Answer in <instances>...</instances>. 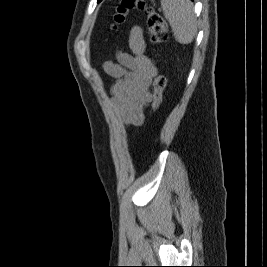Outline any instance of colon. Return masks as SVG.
<instances>
[{
    "label": "colon",
    "mask_w": 267,
    "mask_h": 267,
    "mask_svg": "<svg viewBox=\"0 0 267 267\" xmlns=\"http://www.w3.org/2000/svg\"><path fill=\"white\" fill-rule=\"evenodd\" d=\"M132 9L145 11L148 33L153 43L161 44L166 41L168 26L165 19L145 0H121L114 13V25L123 23ZM165 86L166 78L162 74L157 75L152 88V104L155 110H159L162 105Z\"/></svg>",
    "instance_id": "obj_1"
}]
</instances>
